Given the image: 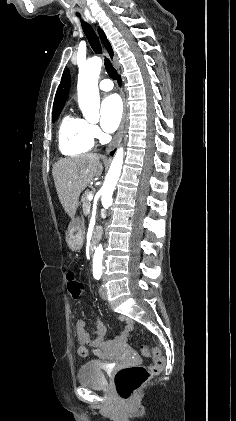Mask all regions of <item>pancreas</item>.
Wrapping results in <instances>:
<instances>
[{
	"instance_id": "1",
	"label": "pancreas",
	"mask_w": 236,
	"mask_h": 421,
	"mask_svg": "<svg viewBox=\"0 0 236 421\" xmlns=\"http://www.w3.org/2000/svg\"><path fill=\"white\" fill-rule=\"evenodd\" d=\"M88 194H93V190H85L84 196L82 198V208H83V215H90V206L91 200H88Z\"/></svg>"
}]
</instances>
